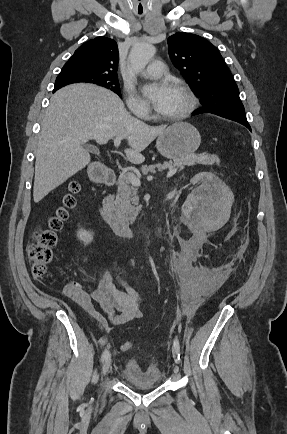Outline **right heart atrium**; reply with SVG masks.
I'll return each instance as SVG.
<instances>
[{"instance_id":"1","label":"right heart atrium","mask_w":287,"mask_h":434,"mask_svg":"<svg viewBox=\"0 0 287 434\" xmlns=\"http://www.w3.org/2000/svg\"><path fill=\"white\" fill-rule=\"evenodd\" d=\"M126 96L127 104L134 114L147 115L149 113L147 102L138 96L132 88H126Z\"/></svg>"}]
</instances>
